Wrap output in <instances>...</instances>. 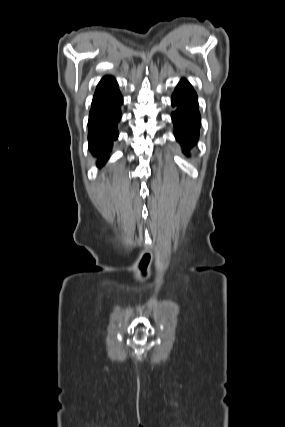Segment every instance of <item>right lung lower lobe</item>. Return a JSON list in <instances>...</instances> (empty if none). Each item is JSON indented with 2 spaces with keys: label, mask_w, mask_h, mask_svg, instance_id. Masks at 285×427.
<instances>
[{
  "label": "right lung lower lobe",
  "mask_w": 285,
  "mask_h": 427,
  "mask_svg": "<svg viewBox=\"0 0 285 427\" xmlns=\"http://www.w3.org/2000/svg\"><path fill=\"white\" fill-rule=\"evenodd\" d=\"M123 98L116 80L104 77L97 86L89 114V150L102 166L109 158L111 143L118 137L117 123L121 118Z\"/></svg>",
  "instance_id": "98d812e1"
}]
</instances>
